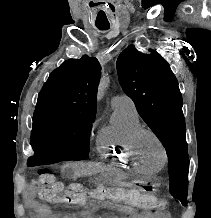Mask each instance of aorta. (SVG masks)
<instances>
[{
	"mask_svg": "<svg viewBox=\"0 0 211 218\" xmlns=\"http://www.w3.org/2000/svg\"><path fill=\"white\" fill-rule=\"evenodd\" d=\"M108 78H104L100 81L99 88H98V99H102L106 88L108 86Z\"/></svg>",
	"mask_w": 211,
	"mask_h": 218,
	"instance_id": "aorta-1",
	"label": "aorta"
}]
</instances>
